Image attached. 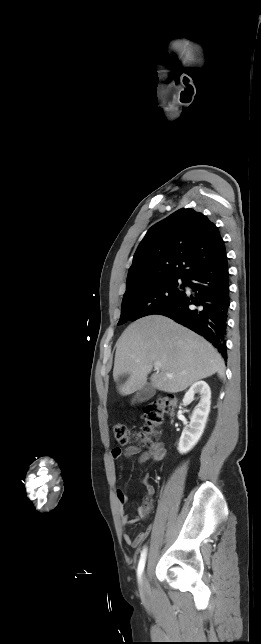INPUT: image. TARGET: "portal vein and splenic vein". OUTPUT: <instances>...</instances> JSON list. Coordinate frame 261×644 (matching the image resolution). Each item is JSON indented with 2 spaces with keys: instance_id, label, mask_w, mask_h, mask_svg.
<instances>
[{
  "instance_id": "portal-vein-and-splenic-vein-1",
  "label": "portal vein and splenic vein",
  "mask_w": 261,
  "mask_h": 644,
  "mask_svg": "<svg viewBox=\"0 0 261 644\" xmlns=\"http://www.w3.org/2000/svg\"><path fill=\"white\" fill-rule=\"evenodd\" d=\"M160 367H161V363H160V362H155V363H154V368H155V370H157V371H158V370H160ZM166 376H167V377H169V378H172V377H173L171 374H166Z\"/></svg>"
}]
</instances>
